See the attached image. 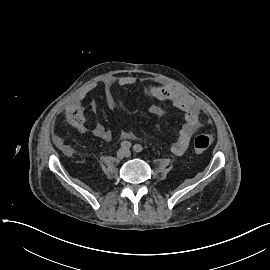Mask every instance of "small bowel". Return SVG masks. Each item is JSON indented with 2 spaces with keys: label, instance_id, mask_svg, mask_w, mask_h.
Instances as JSON below:
<instances>
[{
  "label": "small bowel",
  "instance_id": "obj_1",
  "mask_svg": "<svg viewBox=\"0 0 270 270\" xmlns=\"http://www.w3.org/2000/svg\"><path fill=\"white\" fill-rule=\"evenodd\" d=\"M135 81V78L130 76H123L105 81L104 89L107 106L112 110L116 109L117 103L114 94L115 89L132 85ZM144 85L150 95L160 101L172 104L174 107L185 113L184 124L179 132L178 138L171 147V151L175 155H183L188 148L191 137L201 127L199 107L188 93L177 86L160 82L154 78L145 79ZM87 92L88 90L81 92L78 98L66 109L67 122L79 133H86L88 130L83 107V101ZM148 111L153 116H161L163 114V109L158 105H150ZM93 134L107 142L112 140L111 131L101 123H97L94 126ZM120 137L122 139L135 138L132 133L128 132H122Z\"/></svg>",
  "mask_w": 270,
  "mask_h": 270
}]
</instances>
